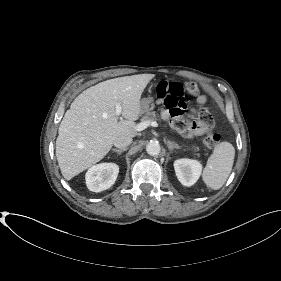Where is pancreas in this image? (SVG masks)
<instances>
[{
	"label": "pancreas",
	"mask_w": 281,
	"mask_h": 281,
	"mask_svg": "<svg viewBox=\"0 0 281 281\" xmlns=\"http://www.w3.org/2000/svg\"><path fill=\"white\" fill-rule=\"evenodd\" d=\"M157 118H158V115L156 114V112L152 111V112L145 113V115L142 117V121H154V120H157ZM192 148L194 151H199V147L196 145H194Z\"/></svg>",
	"instance_id": "1"
}]
</instances>
